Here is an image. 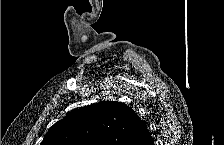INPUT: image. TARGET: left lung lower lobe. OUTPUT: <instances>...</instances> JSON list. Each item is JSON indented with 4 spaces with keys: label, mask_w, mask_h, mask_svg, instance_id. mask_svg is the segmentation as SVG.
<instances>
[{
    "label": "left lung lower lobe",
    "mask_w": 224,
    "mask_h": 145,
    "mask_svg": "<svg viewBox=\"0 0 224 145\" xmlns=\"http://www.w3.org/2000/svg\"><path fill=\"white\" fill-rule=\"evenodd\" d=\"M153 138L151 137V134L149 133L147 126L145 125L143 129L141 130L138 138L136 139L134 145H153Z\"/></svg>",
    "instance_id": "left-lung-lower-lobe-1"
}]
</instances>
